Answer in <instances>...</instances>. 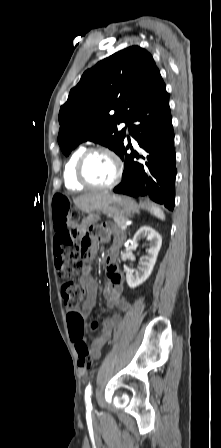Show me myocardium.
Masks as SVG:
<instances>
[{
    "instance_id": "f54148a6",
    "label": "myocardium",
    "mask_w": 221,
    "mask_h": 448,
    "mask_svg": "<svg viewBox=\"0 0 221 448\" xmlns=\"http://www.w3.org/2000/svg\"><path fill=\"white\" fill-rule=\"evenodd\" d=\"M95 154H106L113 160V162L115 164V176H114L113 180L106 185L93 184L92 182L89 181V179L85 175L84 169H85L86 162L92 155H95ZM74 175H75L76 180L85 187L94 188V189H111V188L115 187L120 182V180L122 178L123 163H122L120 157L118 156V154L116 152H114L113 150H111L107 147H94V148L85 150L80 155V157L78 158L76 165H75Z\"/></svg>"
}]
</instances>
